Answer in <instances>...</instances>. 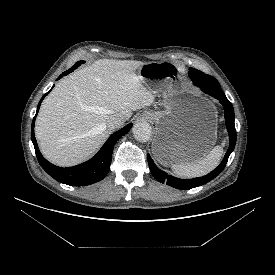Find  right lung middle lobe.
Here are the masks:
<instances>
[{
    "label": "right lung middle lobe",
    "mask_w": 275,
    "mask_h": 275,
    "mask_svg": "<svg viewBox=\"0 0 275 275\" xmlns=\"http://www.w3.org/2000/svg\"><path fill=\"white\" fill-rule=\"evenodd\" d=\"M82 63H84V61H79V62L75 63V65L73 67L76 68V67H78Z\"/></svg>",
    "instance_id": "dd1d6c3e"
}]
</instances>
